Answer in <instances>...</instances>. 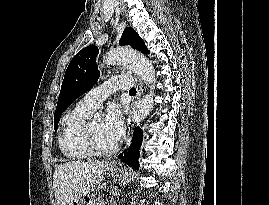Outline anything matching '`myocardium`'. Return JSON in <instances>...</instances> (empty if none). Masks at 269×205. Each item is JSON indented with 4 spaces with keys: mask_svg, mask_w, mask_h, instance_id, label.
<instances>
[{
    "mask_svg": "<svg viewBox=\"0 0 269 205\" xmlns=\"http://www.w3.org/2000/svg\"><path fill=\"white\" fill-rule=\"evenodd\" d=\"M84 143L90 154L97 157L110 156L114 154L118 149L117 145H114L109 149H103L99 147L91 133L90 124H87L84 128Z\"/></svg>",
    "mask_w": 269,
    "mask_h": 205,
    "instance_id": "myocardium-1",
    "label": "myocardium"
}]
</instances>
